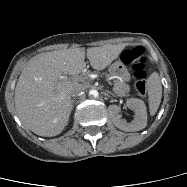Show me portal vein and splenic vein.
<instances>
[{"label": "portal vein and splenic vein", "mask_w": 187, "mask_h": 187, "mask_svg": "<svg viewBox=\"0 0 187 187\" xmlns=\"http://www.w3.org/2000/svg\"><path fill=\"white\" fill-rule=\"evenodd\" d=\"M62 78L65 79L64 76H63ZM74 79H75V80H78L79 78H78V77H75ZM108 83L110 84V82H108Z\"/></svg>", "instance_id": "portal-vein-and-splenic-vein-1"}]
</instances>
